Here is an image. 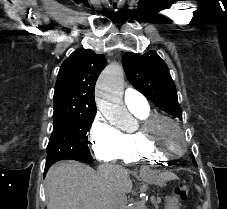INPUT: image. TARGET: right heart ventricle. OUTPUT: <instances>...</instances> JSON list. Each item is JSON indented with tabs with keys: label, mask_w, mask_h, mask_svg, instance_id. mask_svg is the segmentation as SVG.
<instances>
[{
	"label": "right heart ventricle",
	"mask_w": 227,
	"mask_h": 209,
	"mask_svg": "<svg viewBox=\"0 0 227 209\" xmlns=\"http://www.w3.org/2000/svg\"><path fill=\"white\" fill-rule=\"evenodd\" d=\"M137 120L141 121L151 114L149 107L131 109ZM117 161L125 165L157 164L165 161L159 155L152 153L137 134L134 132H122V145L116 157Z\"/></svg>",
	"instance_id": "1"
}]
</instances>
